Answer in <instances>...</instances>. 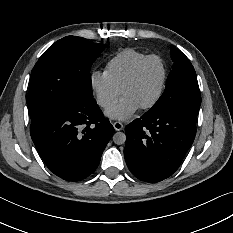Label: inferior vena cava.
Instances as JSON below:
<instances>
[{
    "label": "inferior vena cava",
    "mask_w": 233,
    "mask_h": 233,
    "mask_svg": "<svg viewBox=\"0 0 233 233\" xmlns=\"http://www.w3.org/2000/svg\"><path fill=\"white\" fill-rule=\"evenodd\" d=\"M108 103L106 102L104 106H106Z\"/></svg>",
    "instance_id": "inferior-vena-cava-1"
}]
</instances>
